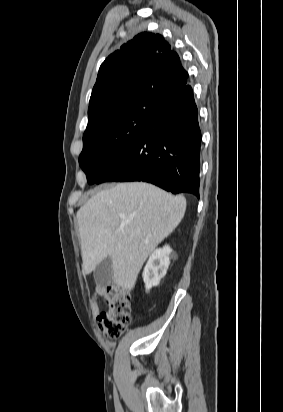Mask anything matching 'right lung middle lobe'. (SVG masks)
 Segmentation results:
<instances>
[{
    "instance_id": "dd1d6c3e",
    "label": "right lung middle lobe",
    "mask_w": 283,
    "mask_h": 412,
    "mask_svg": "<svg viewBox=\"0 0 283 412\" xmlns=\"http://www.w3.org/2000/svg\"><path fill=\"white\" fill-rule=\"evenodd\" d=\"M163 106L159 102L135 104L103 119L84 133L79 164L89 184H94L127 152Z\"/></svg>"
}]
</instances>
